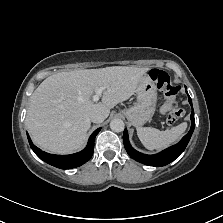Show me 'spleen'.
Instances as JSON below:
<instances>
[{"mask_svg":"<svg viewBox=\"0 0 223 223\" xmlns=\"http://www.w3.org/2000/svg\"><path fill=\"white\" fill-rule=\"evenodd\" d=\"M186 129L187 122L165 131L155 128L137 127V135L146 149L150 151L163 150L179 140Z\"/></svg>","mask_w":223,"mask_h":223,"instance_id":"obj_1","label":"spleen"}]
</instances>
